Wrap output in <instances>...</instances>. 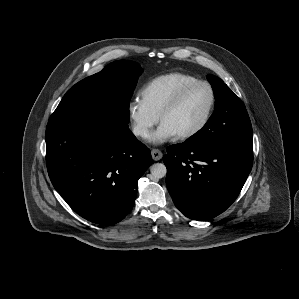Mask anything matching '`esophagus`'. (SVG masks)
Listing matches in <instances>:
<instances>
[{
	"label": "esophagus",
	"instance_id": "obj_1",
	"mask_svg": "<svg viewBox=\"0 0 299 299\" xmlns=\"http://www.w3.org/2000/svg\"><path fill=\"white\" fill-rule=\"evenodd\" d=\"M151 155H152L153 160H155V161H159L163 156L162 152L158 149H153L151 151Z\"/></svg>",
	"mask_w": 299,
	"mask_h": 299
}]
</instances>
